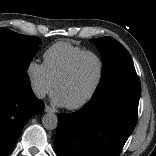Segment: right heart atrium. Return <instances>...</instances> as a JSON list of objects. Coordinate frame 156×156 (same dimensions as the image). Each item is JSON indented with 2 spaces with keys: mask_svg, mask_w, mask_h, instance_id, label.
<instances>
[{
  "mask_svg": "<svg viewBox=\"0 0 156 156\" xmlns=\"http://www.w3.org/2000/svg\"><path fill=\"white\" fill-rule=\"evenodd\" d=\"M26 75L36 97L43 98L53 91L55 83L49 76L44 63L31 60L26 66Z\"/></svg>",
  "mask_w": 156,
  "mask_h": 156,
  "instance_id": "1",
  "label": "right heart atrium"
}]
</instances>
